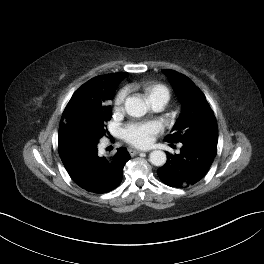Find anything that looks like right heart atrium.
I'll list each match as a JSON object with an SVG mask.
<instances>
[{"mask_svg": "<svg viewBox=\"0 0 264 264\" xmlns=\"http://www.w3.org/2000/svg\"><path fill=\"white\" fill-rule=\"evenodd\" d=\"M125 98H126V91L125 90L119 91L114 99V111L115 112H120L123 109Z\"/></svg>", "mask_w": 264, "mask_h": 264, "instance_id": "1", "label": "right heart atrium"}]
</instances>
